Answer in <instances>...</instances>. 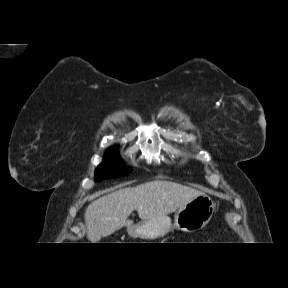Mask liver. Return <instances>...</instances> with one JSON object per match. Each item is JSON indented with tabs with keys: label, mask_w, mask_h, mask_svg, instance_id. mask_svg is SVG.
I'll use <instances>...</instances> for the list:
<instances>
[{
	"label": "liver",
	"mask_w": 288,
	"mask_h": 288,
	"mask_svg": "<svg viewBox=\"0 0 288 288\" xmlns=\"http://www.w3.org/2000/svg\"><path fill=\"white\" fill-rule=\"evenodd\" d=\"M200 193L165 180L119 189L93 201L86 208L87 238L96 243L124 226H132L133 221L128 217L134 210L143 221L167 216Z\"/></svg>",
	"instance_id": "1"
}]
</instances>
